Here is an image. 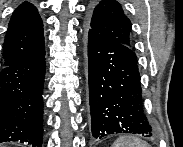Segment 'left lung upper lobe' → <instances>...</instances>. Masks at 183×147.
Returning a JSON list of instances; mask_svg holds the SVG:
<instances>
[{
	"instance_id": "left-lung-upper-lobe-1",
	"label": "left lung upper lobe",
	"mask_w": 183,
	"mask_h": 147,
	"mask_svg": "<svg viewBox=\"0 0 183 147\" xmlns=\"http://www.w3.org/2000/svg\"><path fill=\"white\" fill-rule=\"evenodd\" d=\"M88 31H94L116 42L132 47L131 22L115 0H102L87 19Z\"/></svg>"
}]
</instances>
